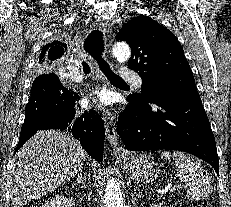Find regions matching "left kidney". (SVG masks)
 <instances>
[{"label": "left kidney", "mask_w": 231, "mask_h": 207, "mask_svg": "<svg viewBox=\"0 0 231 207\" xmlns=\"http://www.w3.org/2000/svg\"><path fill=\"white\" fill-rule=\"evenodd\" d=\"M151 207H167V206L163 204H153Z\"/></svg>", "instance_id": "obj_1"}]
</instances>
